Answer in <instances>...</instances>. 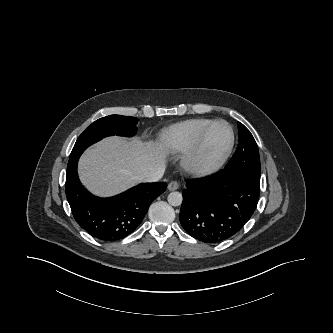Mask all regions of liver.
Returning <instances> with one entry per match:
<instances>
[{"label":"liver","mask_w":333,"mask_h":333,"mask_svg":"<svg viewBox=\"0 0 333 333\" xmlns=\"http://www.w3.org/2000/svg\"><path fill=\"white\" fill-rule=\"evenodd\" d=\"M166 149L159 144L109 137L88 149L79 161L83 184L96 195L109 196L140 181L155 167L165 169Z\"/></svg>","instance_id":"6515ba94"}]
</instances>
